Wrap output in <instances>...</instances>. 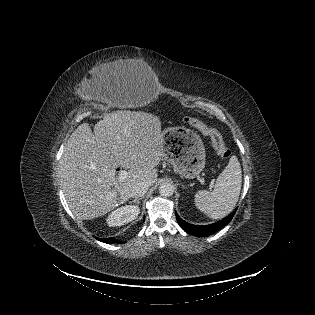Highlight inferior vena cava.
Listing matches in <instances>:
<instances>
[{"label": "inferior vena cava", "instance_id": "obj_1", "mask_svg": "<svg viewBox=\"0 0 315 315\" xmlns=\"http://www.w3.org/2000/svg\"><path fill=\"white\" fill-rule=\"evenodd\" d=\"M150 186L151 184L146 181L135 185L132 189L131 197L139 198L144 196Z\"/></svg>", "mask_w": 315, "mask_h": 315}]
</instances>
